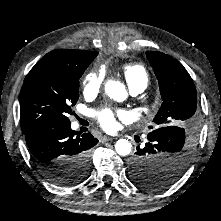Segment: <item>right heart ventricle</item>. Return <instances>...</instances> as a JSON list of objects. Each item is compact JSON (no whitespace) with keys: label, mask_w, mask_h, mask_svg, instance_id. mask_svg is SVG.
Here are the masks:
<instances>
[{"label":"right heart ventricle","mask_w":221,"mask_h":221,"mask_svg":"<svg viewBox=\"0 0 221 221\" xmlns=\"http://www.w3.org/2000/svg\"><path fill=\"white\" fill-rule=\"evenodd\" d=\"M122 74L131 89L144 90L149 83V75L146 68L137 63L125 64Z\"/></svg>","instance_id":"e07e8e85"}]
</instances>
